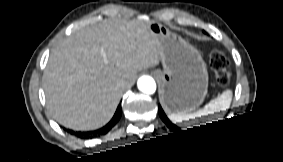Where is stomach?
<instances>
[{
    "label": "stomach",
    "instance_id": "1",
    "mask_svg": "<svg viewBox=\"0 0 283 162\" xmlns=\"http://www.w3.org/2000/svg\"><path fill=\"white\" fill-rule=\"evenodd\" d=\"M163 70L156 71L163 105L182 111L198 106L207 92L208 74L200 53L160 23L150 21Z\"/></svg>",
    "mask_w": 283,
    "mask_h": 162
}]
</instances>
